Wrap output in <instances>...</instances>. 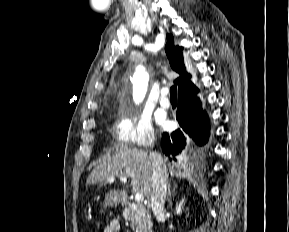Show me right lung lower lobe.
Wrapping results in <instances>:
<instances>
[{
    "mask_svg": "<svg viewBox=\"0 0 289 232\" xmlns=\"http://www.w3.org/2000/svg\"><path fill=\"white\" fill-rule=\"evenodd\" d=\"M198 89L179 96V106L176 114L182 131L171 134L164 133L161 144L165 155H177L186 145V140L193 139L198 145H204L209 138V120L202 111L201 102L196 94Z\"/></svg>",
    "mask_w": 289,
    "mask_h": 232,
    "instance_id": "right-lung-lower-lobe-1",
    "label": "right lung lower lobe"
}]
</instances>
